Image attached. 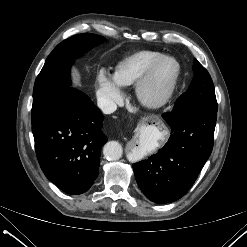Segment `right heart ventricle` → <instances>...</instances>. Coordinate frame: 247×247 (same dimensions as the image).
I'll return each mask as SVG.
<instances>
[{
    "label": "right heart ventricle",
    "mask_w": 247,
    "mask_h": 247,
    "mask_svg": "<svg viewBox=\"0 0 247 247\" xmlns=\"http://www.w3.org/2000/svg\"><path fill=\"white\" fill-rule=\"evenodd\" d=\"M161 56L162 53L150 50L132 53L117 63L113 77L120 86H130L136 83L149 66Z\"/></svg>",
    "instance_id": "e07e8e85"
}]
</instances>
